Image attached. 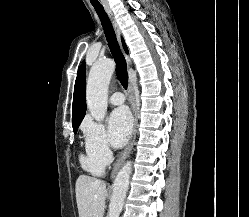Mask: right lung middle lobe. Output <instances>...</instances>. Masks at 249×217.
Returning <instances> with one entry per match:
<instances>
[{
	"label": "right lung middle lobe",
	"mask_w": 249,
	"mask_h": 217,
	"mask_svg": "<svg viewBox=\"0 0 249 217\" xmlns=\"http://www.w3.org/2000/svg\"><path fill=\"white\" fill-rule=\"evenodd\" d=\"M77 129H78V126H74V127H73L74 133L77 132Z\"/></svg>",
	"instance_id": "right-lung-middle-lobe-1"
}]
</instances>
